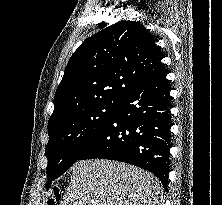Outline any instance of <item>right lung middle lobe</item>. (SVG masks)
Here are the masks:
<instances>
[{"instance_id": "dd1d6c3e", "label": "right lung middle lobe", "mask_w": 222, "mask_h": 205, "mask_svg": "<svg viewBox=\"0 0 222 205\" xmlns=\"http://www.w3.org/2000/svg\"><path fill=\"white\" fill-rule=\"evenodd\" d=\"M120 101L104 102L85 107L48 125L46 146L47 188L77 160L90 141L105 126Z\"/></svg>"}]
</instances>
